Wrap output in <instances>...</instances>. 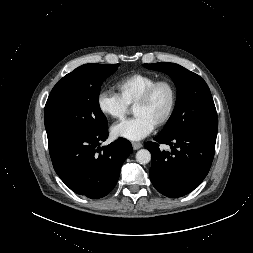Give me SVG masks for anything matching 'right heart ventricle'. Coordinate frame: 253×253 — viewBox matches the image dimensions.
I'll return each instance as SVG.
<instances>
[{
  "instance_id": "e07e8e85",
  "label": "right heart ventricle",
  "mask_w": 253,
  "mask_h": 253,
  "mask_svg": "<svg viewBox=\"0 0 253 253\" xmlns=\"http://www.w3.org/2000/svg\"><path fill=\"white\" fill-rule=\"evenodd\" d=\"M156 81H158L157 76L145 73H135L121 78L117 81L115 87L118 91L117 94L125 104L132 106L145 90Z\"/></svg>"
}]
</instances>
